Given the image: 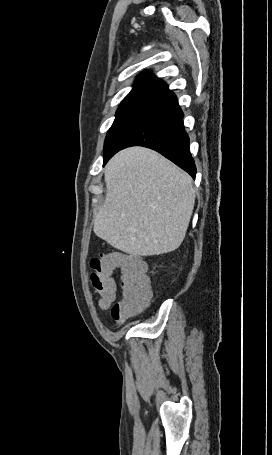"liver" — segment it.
<instances>
[{"label":"liver","mask_w":272,"mask_h":455,"mask_svg":"<svg viewBox=\"0 0 272 455\" xmlns=\"http://www.w3.org/2000/svg\"><path fill=\"white\" fill-rule=\"evenodd\" d=\"M106 198L94 216V233L137 256L176 250L195 204L191 177L155 151L132 147L105 167Z\"/></svg>","instance_id":"6515ba94"}]
</instances>
